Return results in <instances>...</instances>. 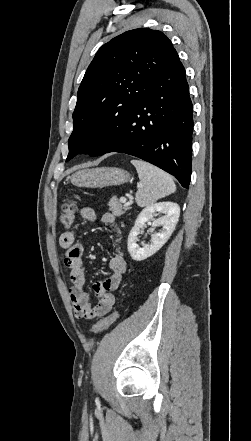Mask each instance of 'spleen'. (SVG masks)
Listing matches in <instances>:
<instances>
[{"instance_id": "spleen-1", "label": "spleen", "mask_w": 251, "mask_h": 441, "mask_svg": "<svg viewBox=\"0 0 251 441\" xmlns=\"http://www.w3.org/2000/svg\"><path fill=\"white\" fill-rule=\"evenodd\" d=\"M142 186L138 189L135 200L138 206L144 207L176 191V185L163 170L138 159H132Z\"/></svg>"}]
</instances>
